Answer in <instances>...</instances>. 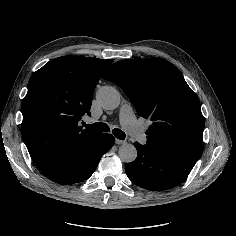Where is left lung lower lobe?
I'll list each match as a JSON object with an SVG mask.
<instances>
[{
	"label": "left lung lower lobe",
	"instance_id": "0a47b994",
	"mask_svg": "<svg viewBox=\"0 0 236 236\" xmlns=\"http://www.w3.org/2000/svg\"><path fill=\"white\" fill-rule=\"evenodd\" d=\"M137 158L125 165L129 179L137 186L154 191L167 190L182 183L194 165L152 146L134 143Z\"/></svg>",
	"mask_w": 236,
	"mask_h": 236
}]
</instances>
